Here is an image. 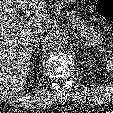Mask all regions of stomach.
<instances>
[{
  "instance_id": "obj_1",
  "label": "stomach",
  "mask_w": 113,
  "mask_h": 113,
  "mask_svg": "<svg viewBox=\"0 0 113 113\" xmlns=\"http://www.w3.org/2000/svg\"><path fill=\"white\" fill-rule=\"evenodd\" d=\"M76 0H60L61 4L64 6H69L73 4Z\"/></svg>"
}]
</instances>
